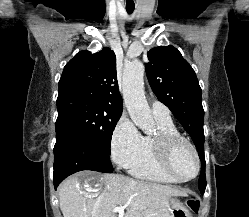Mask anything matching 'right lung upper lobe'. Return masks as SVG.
Masks as SVG:
<instances>
[{
	"label": "right lung upper lobe",
	"instance_id": "right-lung-upper-lobe-1",
	"mask_svg": "<svg viewBox=\"0 0 249 217\" xmlns=\"http://www.w3.org/2000/svg\"><path fill=\"white\" fill-rule=\"evenodd\" d=\"M80 96L122 108L118 90L116 57L110 48L92 54L80 51L64 67L59 81V95Z\"/></svg>",
	"mask_w": 249,
	"mask_h": 217
}]
</instances>
